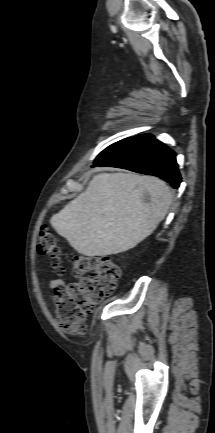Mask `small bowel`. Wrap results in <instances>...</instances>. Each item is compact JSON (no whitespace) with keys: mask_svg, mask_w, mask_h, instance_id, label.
I'll return each mask as SVG.
<instances>
[{"mask_svg":"<svg viewBox=\"0 0 215 433\" xmlns=\"http://www.w3.org/2000/svg\"><path fill=\"white\" fill-rule=\"evenodd\" d=\"M52 288H57L58 286H62L63 285V281L60 279H56V280H52L50 283Z\"/></svg>","mask_w":215,"mask_h":433,"instance_id":"c3829d8e","label":"small bowel"}]
</instances>
